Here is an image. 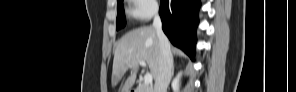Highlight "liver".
<instances>
[{"label":"liver","mask_w":296,"mask_h":92,"mask_svg":"<svg viewBox=\"0 0 296 92\" xmlns=\"http://www.w3.org/2000/svg\"><path fill=\"white\" fill-rule=\"evenodd\" d=\"M160 46L154 27H140L126 33L114 51L112 85L115 86L124 73L131 70L121 92H129L135 83L139 61H145L154 79L159 72Z\"/></svg>","instance_id":"liver-1"}]
</instances>
